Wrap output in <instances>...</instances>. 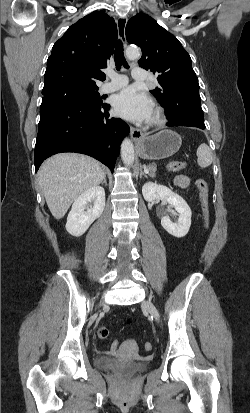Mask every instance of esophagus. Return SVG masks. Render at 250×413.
<instances>
[{
  "label": "esophagus",
  "instance_id": "1",
  "mask_svg": "<svg viewBox=\"0 0 250 413\" xmlns=\"http://www.w3.org/2000/svg\"><path fill=\"white\" fill-rule=\"evenodd\" d=\"M128 18L126 16H121L117 19V29H118V36L121 39V41L125 44L126 43V37H125V28L127 25ZM130 135L133 141H137L140 139L143 135L142 131L139 129L134 128L133 126H130Z\"/></svg>",
  "mask_w": 250,
  "mask_h": 413
}]
</instances>
